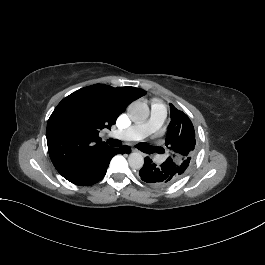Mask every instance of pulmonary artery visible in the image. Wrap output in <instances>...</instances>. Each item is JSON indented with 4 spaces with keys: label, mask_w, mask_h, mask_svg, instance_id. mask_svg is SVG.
<instances>
[{
    "label": "pulmonary artery",
    "mask_w": 265,
    "mask_h": 265,
    "mask_svg": "<svg viewBox=\"0 0 265 265\" xmlns=\"http://www.w3.org/2000/svg\"><path fill=\"white\" fill-rule=\"evenodd\" d=\"M151 113L153 114L146 122L135 125L133 129H116L113 132V137L116 140L134 139L139 140L143 137H148L149 133L155 132L163 124L164 118L169 115L170 105L167 102L162 104H151Z\"/></svg>",
    "instance_id": "e3ab8cb5"
}]
</instances>
